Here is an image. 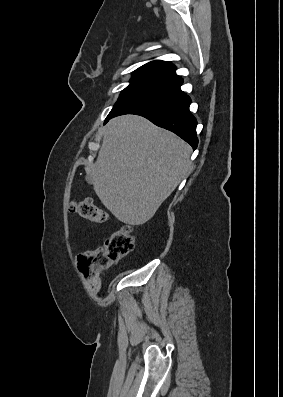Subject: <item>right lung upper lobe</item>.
<instances>
[{"label":"right lung upper lobe","mask_w":283,"mask_h":397,"mask_svg":"<svg viewBox=\"0 0 283 397\" xmlns=\"http://www.w3.org/2000/svg\"><path fill=\"white\" fill-rule=\"evenodd\" d=\"M175 70V66L170 62L155 60L141 66L133 74H142L150 79L165 81L171 86L182 81Z\"/></svg>","instance_id":"1"}]
</instances>
